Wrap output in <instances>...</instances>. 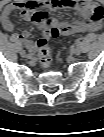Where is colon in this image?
I'll return each instance as SVG.
<instances>
[{"label": "colon", "mask_w": 104, "mask_h": 137, "mask_svg": "<svg viewBox=\"0 0 104 137\" xmlns=\"http://www.w3.org/2000/svg\"><path fill=\"white\" fill-rule=\"evenodd\" d=\"M33 21L39 25H45L43 31V37L37 44V58L39 63L47 67L51 64V50L48 44L50 39H55L59 36L60 30L50 23L47 12L43 10L35 11L33 14Z\"/></svg>", "instance_id": "colon-1"}]
</instances>
